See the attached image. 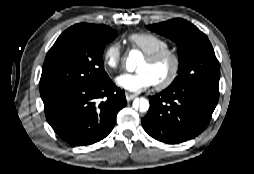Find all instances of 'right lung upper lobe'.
Returning <instances> with one entry per match:
<instances>
[{
    "label": "right lung upper lobe",
    "mask_w": 254,
    "mask_h": 174,
    "mask_svg": "<svg viewBox=\"0 0 254 174\" xmlns=\"http://www.w3.org/2000/svg\"><path fill=\"white\" fill-rule=\"evenodd\" d=\"M76 26H82V27L89 28L92 30H104L108 27L105 25H93V24H87V23L76 24Z\"/></svg>",
    "instance_id": "right-lung-upper-lobe-1"
}]
</instances>
